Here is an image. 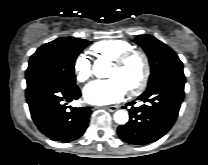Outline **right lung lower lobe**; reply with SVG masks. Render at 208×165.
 <instances>
[{"label":"right lung lower lobe","mask_w":208,"mask_h":165,"mask_svg":"<svg viewBox=\"0 0 208 165\" xmlns=\"http://www.w3.org/2000/svg\"><path fill=\"white\" fill-rule=\"evenodd\" d=\"M81 96L77 85L42 82L26 89L31 117L38 129L53 141L71 142L88 127L91 109L66 106Z\"/></svg>","instance_id":"right-lung-lower-lobe-1"}]
</instances>
